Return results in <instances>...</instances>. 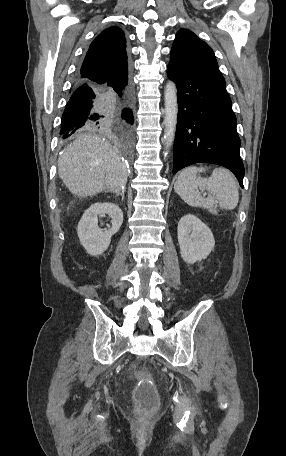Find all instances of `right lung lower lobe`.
<instances>
[{"mask_svg": "<svg viewBox=\"0 0 286 456\" xmlns=\"http://www.w3.org/2000/svg\"><path fill=\"white\" fill-rule=\"evenodd\" d=\"M100 83L77 74L62 115L60 138L81 130L108 128L129 142L133 132V92L128 76Z\"/></svg>", "mask_w": 286, "mask_h": 456, "instance_id": "obj_1", "label": "right lung lower lobe"}]
</instances>
